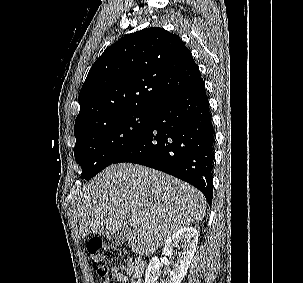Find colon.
I'll return each instance as SVG.
<instances>
[{"instance_id":"5ec220e1","label":"colon","mask_w":303,"mask_h":283,"mask_svg":"<svg viewBox=\"0 0 303 283\" xmlns=\"http://www.w3.org/2000/svg\"><path fill=\"white\" fill-rule=\"evenodd\" d=\"M86 248L93 269L101 276H106L111 266L119 259L116 248L100 239L93 238L89 240Z\"/></svg>"}]
</instances>
